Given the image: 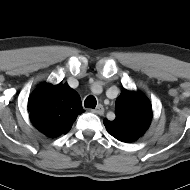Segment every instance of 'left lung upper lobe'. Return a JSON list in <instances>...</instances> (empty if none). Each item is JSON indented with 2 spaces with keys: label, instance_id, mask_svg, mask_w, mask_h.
Returning a JSON list of instances; mask_svg holds the SVG:
<instances>
[{
  "label": "left lung upper lobe",
  "instance_id": "left-lung-upper-lobe-1",
  "mask_svg": "<svg viewBox=\"0 0 190 190\" xmlns=\"http://www.w3.org/2000/svg\"><path fill=\"white\" fill-rule=\"evenodd\" d=\"M116 118L103 120L107 132L122 142H133L142 136L152 120V106L142 92L124 89L116 100Z\"/></svg>",
  "mask_w": 190,
  "mask_h": 190
}]
</instances>
